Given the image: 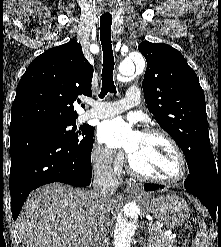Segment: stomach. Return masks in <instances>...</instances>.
I'll return each mask as SVG.
<instances>
[{
  "mask_svg": "<svg viewBox=\"0 0 221 247\" xmlns=\"http://www.w3.org/2000/svg\"><path fill=\"white\" fill-rule=\"evenodd\" d=\"M138 199L155 218L170 228L179 227L190 216L188 204L176 194L158 197L139 195Z\"/></svg>",
  "mask_w": 221,
  "mask_h": 247,
  "instance_id": "0dacf381",
  "label": "stomach"
}]
</instances>
